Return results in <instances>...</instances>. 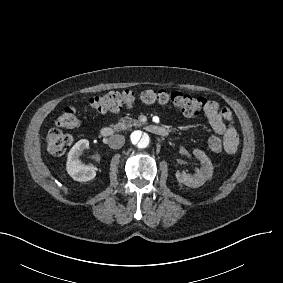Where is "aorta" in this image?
<instances>
[{"instance_id":"aorta-1","label":"aorta","mask_w":283,"mask_h":283,"mask_svg":"<svg viewBox=\"0 0 283 283\" xmlns=\"http://www.w3.org/2000/svg\"><path fill=\"white\" fill-rule=\"evenodd\" d=\"M130 141L134 147L145 149L150 145V136L140 130H135L130 135Z\"/></svg>"}]
</instances>
